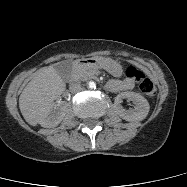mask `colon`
Instances as JSON below:
<instances>
[{
    "instance_id": "obj_1",
    "label": "colon",
    "mask_w": 187,
    "mask_h": 187,
    "mask_svg": "<svg viewBox=\"0 0 187 187\" xmlns=\"http://www.w3.org/2000/svg\"><path fill=\"white\" fill-rule=\"evenodd\" d=\"M128 78L133 79L140 89V91L148 96H153L156 93V86L154 82L148 78L140 69L130 66L126 69Z\"/></svg>"
}]
</instances>
